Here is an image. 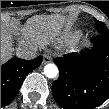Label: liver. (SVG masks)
<instances>
[{"instance_id":"obj_1","label":"liver","mask_w":109,"mask_h":109,"mask_svg":"<svg viewBox=\"0 0 109 109\" xmlns=\"http://www.w3.org/2000/svg\"><path fill=\"white\" fill-rule=\"evenodd\" d=\"M71 20L61 15H36L29 18L20 28L22 38L20 46H44L49 42L61 40L68 36ZM66 28V30H64ZM13 55L12 32L8 28L1 30V62Z\"/></svg>"}]
</instances>
